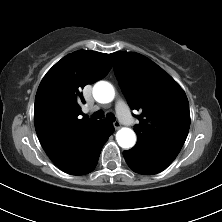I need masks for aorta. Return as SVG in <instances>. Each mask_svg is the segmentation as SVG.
I'll return each mask as SVG.
<instances>
[{
	"mask_svg": "<svg viewBox=\"0 0 222 222\" xmlns=\"http://www.w3.org/2000/svg\"><path fill=\"white\" fill-rule=\"evenodd\" d=\"M114 96L115 90L109 82L99 81L93 87V97L99 103H109ZM116 140L120 147L129 149L135 145L136 135L130 128H121L116 133Z\"/></svg>",
	"mask_w": 222,
	"mask_h": 222,
	"instance_id": "762f6f07",
	"label": "aorta"
}]
</instances>
